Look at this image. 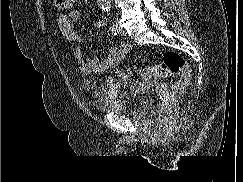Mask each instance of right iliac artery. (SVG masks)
I'll return each mask as SVG.
<instances>
[{"label": "right iliac artery", "mask_w": 243, "mask_h": 182, "mask_svg": "<svg viewBox=\"0 0 243 182\" xmlns=\"http://www.w3.org/2000/svg\"><path fill=\"white\" fill-rule=\"evenodd\" d=\"M110 31L113 33V35L117 36L119 34V28L117 24H112L110 27Z\"/></svg>", "instance_id": "right-iliac-artery-1"}]
</instances>
